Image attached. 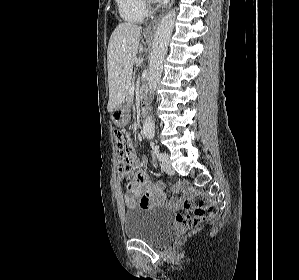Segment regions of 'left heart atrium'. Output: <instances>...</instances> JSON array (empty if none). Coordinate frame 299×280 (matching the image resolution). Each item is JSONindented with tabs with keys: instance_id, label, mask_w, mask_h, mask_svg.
<instances>
[{
	"instance_id": "39dd6f15",
	"label": "left heart atrium",
	"mask_w": 299,
	"mask_h": 280,
	"mask_svg": "<svg viewBox=\"0 0 299 280\" xmlns=\"http://www.w3.org/2000/svg\"><path fill=\"white\" fill-rule=\"evenodd\" d=\"M153 1H155V2H161V1H163V0H153Z\"/></svg>"
}]
</instances>
